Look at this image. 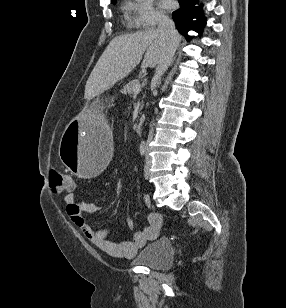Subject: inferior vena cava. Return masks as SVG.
<instances>
[{
	"instance_id": "inferior-vena-cava-1",
	"label": "inferior vena cava",
	"mask_w": 286,
	"mask_h": 308,
	"mask_svg": "<svg viewBox=\"0 0 286 308\" xmlns=\"http://www.w3.org/2000/svg\"><path fill=\"white\" fill-rule=\"evenodd\" d=\"M158 31L164 36L166 41V47L162 58L160 59L156 72L153 77V82L159 84L161 76L166 72L170 66L175 51L178 46V32L175 29V24L173 20L169 19L167 16H160L158 19ZM153 137V128H151L148 140L151 141Z\"/></svg>"
}]
</instances>
